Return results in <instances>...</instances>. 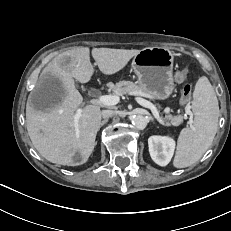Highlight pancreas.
I'll use <instances>...</instances> for the list:
<instances>
[{"label": "pancreas", "instance_id": "pancreas-1", "mask_svg": "<svg viewBox=\"0 0 231 231\" xmlns=\"http://www.w3.org/2000/svg\"><path fill=\"white\" fill-rule=\"evenodd\" d=\"M111 90L118 96L125 94L146 96V92L137 83L131 81H120L111 86ZM169 122L174 126H178L182 122V117L168 115L164 119V124L169 125Z\"/></svg>", "mask_w": 231, "mask_h": 231}]
</instances>
